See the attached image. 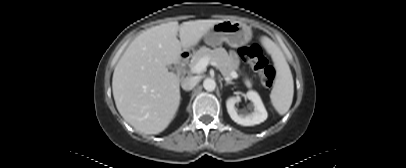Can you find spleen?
I'll return each mask as SVG.
<instances>
[{"label":"spleen","mask_w":406,"mask_h":168,"mask_svg":"<svg viewBox=\"0 0 406 168\" xmlns=\"http://www.w3.org/2000/svg\"><path fill=\"white\" fill-rule=\"evenodd\" d=\"M264 45L272 57L276 68V77L270 99L275 110L284 115L291 107L294 95V81L290 67L281 49L270 39Z\"/></svg>","instance_id":"3e777b00"}]
</instances>
